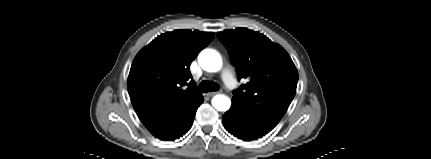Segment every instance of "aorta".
I'll use <instances>...</instances> for the list:
<instances>
[{"instance_id":"aorta-1","label":"aorta","mask_w":431,"mask_h":159,"mask_svg":"<svg viewBox=\"0 0 431 159\" xmlns=\"http://www.w3.org/2000/svg\"><path fill=\"white\" fill-rule=\"evenodd\" d=\"M198 63L203 70L208 72H217L222 68V58L213 49L201 51L198 56ZM212 105L217 111H227L231 106V100L223 94H218L213 97Z\"/></svg>"}]
</instances>
